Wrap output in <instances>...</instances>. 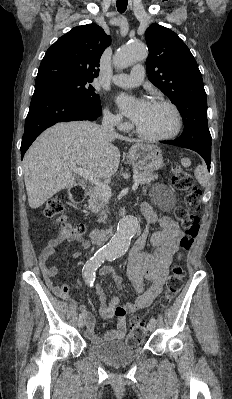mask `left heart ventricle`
<instances>
[{
    "label": "left heart ventricle",
    "instance_id": "b2bd125f",
    "mask_svg": "<svg viewBox=\"0 0 232 399\" xmlns=\"http://www.w3.org/2000/svg\"><path fill=\"white\" fill-rule=\"evenodd\" d=\"M136 126L148 136L166 135L174 129L175 116L172 109L166 105L150 104Z\"/></svg>",
    "mask_w": 232,
    "mask_h": 399
}]
</instances>
